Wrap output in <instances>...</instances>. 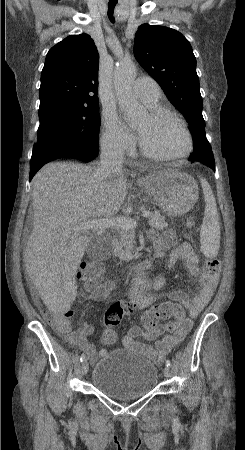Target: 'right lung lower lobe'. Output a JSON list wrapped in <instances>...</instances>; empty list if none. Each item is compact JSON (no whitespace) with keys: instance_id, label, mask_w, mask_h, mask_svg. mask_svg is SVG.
I'll use <instances>...</instances> for the list:
<instances>
[{"instance_id":"obj_1","label":"right lung lower lobe","mask_w":245,"mask_h":450,"mask_svg":"<svg viewBox=\"0 0 245 450\" xmlns=\"http://www.w3.org/2000/svg\"><path fill=\"white\" fill-rule=\"evenodd\" d=\"M98 154V149L93 151H76V152H58V153H49L39 157L35 161L30 162V180L36 174V172L44 165L45 163L59 158H75L82 161H91Z\"/></svg>"}]
</instances>
